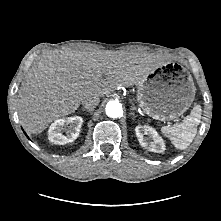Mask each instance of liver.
I'll list each match as a JSON object with an SVG mask.
<instances>
[{"label": "liver", "instance_id": "obj_1", "mask_svg": "<svg viewBox=\"0 0 221 221\" xmlns=\"http://www.w3.org/2000/svg\"><path fill=\"white\" fill-rule=\"evenodd\" d=\"M160 64L155 55L142 52L52 51L29 70L22 82L21 124L30 133H41L52 121L75 112L85 97H102L119 86H132Z\"/></svg>", "mask_w": 221, "mask_h": 221}]
</instances>
